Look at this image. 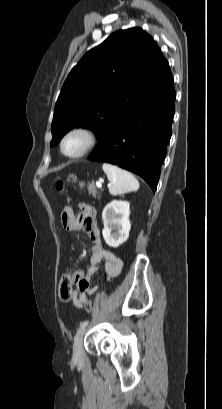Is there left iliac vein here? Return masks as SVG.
<instances>
[{
	"instance_id": "left-iliac-vein-1",
	"label": "left iliac vein",
	"mask_w": 222,
	"mask_h": 409,
	"mask_svg": "<svg viewBox=\"0 0 222 409\" xmlns=\"http://www.w3.org/2000/svg\"><path fill=\"white\" fill-rule=\"evenodd\" d=\"M86 333V327L80 328L76 333L73 346L74 359H79L82 355V343Z\"/></svg>"
}]
</instances>
